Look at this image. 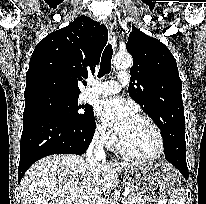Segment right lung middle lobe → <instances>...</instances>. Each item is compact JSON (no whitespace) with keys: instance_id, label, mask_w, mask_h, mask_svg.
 <instances>
[{"instance_id":"right-lung-middle-lobe-1","label":"right lung middle lobe","mask_w":206,"mask_h":204,"mask_svg":"<svg viewBox=\"0 0 206 204\" xmlns=\"http://www.w3.org/2000/svg\"><path fill=\"white\" fill-rule=\"evenodd\" d=\"M79 95L69 96L56 93H41L25 98L24 112L31 109H49L67 119L79 122L94 116L91 106L78 105ZM84 109V112L81 110Z\"/></svg>"}]
</instances>
